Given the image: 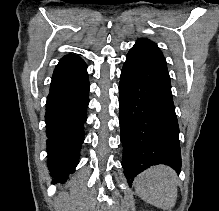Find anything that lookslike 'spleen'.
Here are the masks:
<instances>
[{"instance_id": "spleen-1", "label": "spleen", "mask_w": 219, "mask_h": 211, "mask_svg": "<svg viewBox=\"0 0 219 211\" xmlns=\"http://www.w3.org/2000/svg\"><path fill=\"white\" fill-rule=\"evenodd\" d=\"M139 197L162 209H172L177 199L176 173L169 165H152L135 177Z\"/></svg>"}]
</instances>
